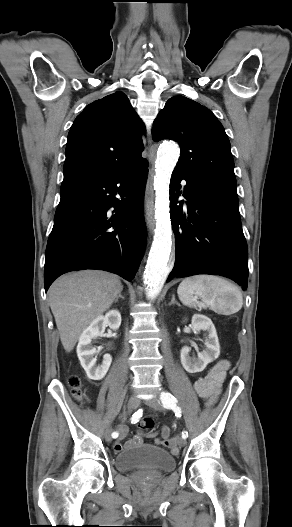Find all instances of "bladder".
I'll list each match as a JSON object with an SVG mask.
<instances>
[{
  "instance_id": "bladder-1",
  "label": "bladder",
  "mask_w": 292,
  "mask_h": 527,
  "mask_svg": "<svg viewBox=\"0 0 292 527\" xmlns=\"http://www.w3.org/2000/svg\"><path fill=\"white\" fill-rule=\"evenodd\" d=\"M119 471L136 470L171 471L175 458L167 450L153 445L132 446L119 453L115 460Z\"/></svg>"
}]
</instances>
